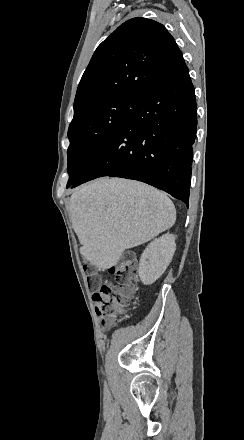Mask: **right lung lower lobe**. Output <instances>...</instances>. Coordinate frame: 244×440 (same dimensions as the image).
I'll list each match as a JSON object with an SVG mask.
<instances>
[{
	"mask_svg": "<svg viewBox=\"0 0 244 440\" xmlns=\"http://www.w3.org/2000/svg\"><path fill=\"white\" fill-rule=\"evenodd\" d=\"M196 114L194 87L183 63L140 98L72 187L122 177L166 191L188 206Z\"/></svg>",
	"mask_w": 244,
	"mask_h": 440,
	"instance_id": "1",
	"label": "right lung lower lobe"
}]
</instances>
